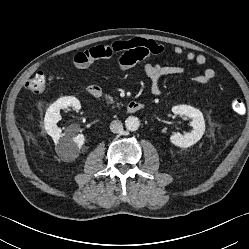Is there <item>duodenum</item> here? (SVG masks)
Segmentation results:
<instances>
[{"mask_svg": "<svg viewBox=\"0 0 249 249\" xmlns=\"http://www.w3.org/2000/svg\"><path fill=\"white\" fill-rule=\"evenodd\" d=\"M88 94L93 97V98H101L103 96V91L100 87L98 86H89L87 88ZM145 108V104L143 102L139 101H131L127 104V111L129 113H137L143 111Z\"/></svg>", "mask_w": 249, "mask_h": 249, "instance_id": "1", "label": "duodenum"}]
</instances>
